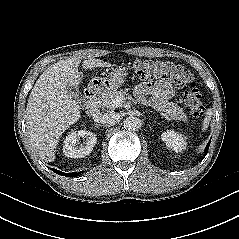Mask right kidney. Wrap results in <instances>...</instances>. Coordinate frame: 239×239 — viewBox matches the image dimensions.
<instances>
[{"label": "right kidney", "mask_w": 239, "mask_h": 239, "mask_svg": "<svg viewBox=\"0 0 239 239\" xmlns=\"http://www.w3.org/2000/svg\"><path fill=\"white\" fill-rule=\"evenodd\" d=\"M80 137L85 138L86 145L78 149L76 142ZM96 142L97 137L93 132L85 130L71 131L64 140L63 152L70 158H82L91 153Z\"/></svg>", "instance_id": "ca27d5eb"}]
</instances>
